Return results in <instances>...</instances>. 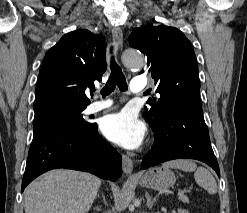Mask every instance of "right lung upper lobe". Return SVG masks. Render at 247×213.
<instances>
[{"label":"right lung upper lobe","mask_w":247,"mask_h":213,"mask_svg":"<svg viewBox=\"0 0 247 213\" xmlns=\"http://www.w3.org/2000/svg\"><path fill=\"white\" fill-rule=\"evenodd\" d=\"M107 68L103 36L88 30L65 34L45 55L35 88L34 110L67 100L88 105L86 88L101 80Z\"/></svg>","instance_id":"obj_1"}]
</instances>
